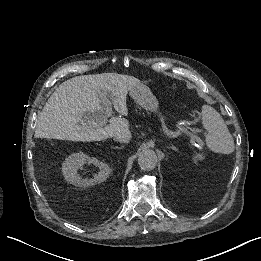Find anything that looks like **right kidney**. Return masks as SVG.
Returning <instances> with one entry per match:
<instances>
[{
    "instance_id": "right-kidney-1",
    "label": "right kidney",
    "mask_w": 261,
    "mask_h": 261,
    "mask_svg": "<svg viewBox=\"0 0 261 261\" xmlns=\"http://www.w3.org/2000/svg\"><path fill=\"white\" fill-rule=\"evenodd\" d=\"M87 162H90L100 168L99 172H97L92 179H83L76 173L77 170ZM62 169L64 179L79 187H89L95 185L96 183L103 182L109 176L111 171L107 163H104L95 157H87L82 153L69 156L63 163Z\"/></svg>"
}]
</instances>
